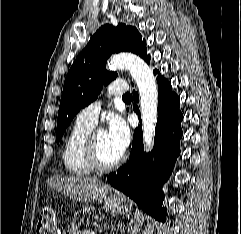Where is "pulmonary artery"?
I'll return each instance as SVG.
<instances>
[{"label":"pulmonary artery","mask_w":241,"mask_h":234,"mask_svg":"<svg viewBox=\"0 0 241 234\" xmlns=\"http://www.w3.org/2000/svg\"><path fill=\"white\" fill-rule=\"evenodd\" d=\"M108 95H124L127 91V86L123 82H114L108 86ZM101 101L97 100L85 108H83L77 115V120L95 125L97 123L98 115L101 109Z\"/></svg>","instance_id":"pulmonary-artery-1"}]
</instances>
